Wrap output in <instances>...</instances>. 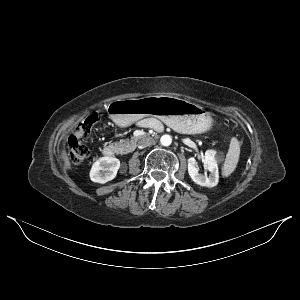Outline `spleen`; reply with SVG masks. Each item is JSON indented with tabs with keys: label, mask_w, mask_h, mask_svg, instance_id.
I'll return each instance as SVG.
<instances>
[{
	"label": "spleen",
	"mask_w": 300,
	"mask_h": 300,
	"mask_svg": "<svg viewBox=\"0 0 300 300\" xmlns=\"http://www.w3.org/2000/svg\"><path fill=\"white\" fill-rule=\"evenodd\" d=\"M239 155L240 143L235 137H233L230 141L229 150L227 152L224 164L222 166L223 177H228L234 172L239 161Z\"/></svg>",
	"instance_id": "3e777b00"
}]
</instances>
